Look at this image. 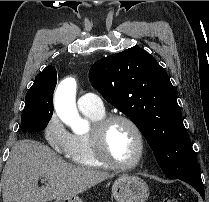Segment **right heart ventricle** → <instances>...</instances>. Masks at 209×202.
I'll list each match as a JSON object with an SVG mask.
<instances>
[{
	"mask_svg": "<svg viewBox=\"0 0 209 202\" xmlns=\"http://www.w3.org/2000/svg\"><path fill=\"white\" fill-rule=\"evenodd\" d=\"M83 114L94 124L104 118L105 114L91 112V111H82ZM67 159L74 164H77L86 168H104L99 159L96 157L92 143L90 139V132L83 134H73L71 139L70 147L65 154Z\"/></svg>",
	"mask_w": 209,
	"mask_h": 202,
	"instance_id": "right-heart-ventricle-1",
	"label": "right heart ventricle"
}]
</instances>
